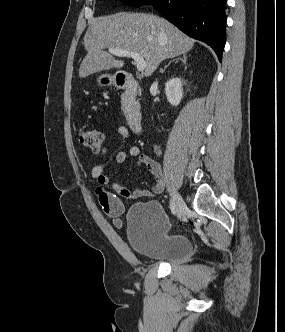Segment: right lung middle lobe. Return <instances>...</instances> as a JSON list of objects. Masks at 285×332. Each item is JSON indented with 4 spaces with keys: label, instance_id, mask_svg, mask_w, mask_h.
Returning <instances> with one entry per match:
<instances>
[{
    "label": "right lung middle lobe",
    "instance_id": "right-lung-middle-lobe-1",
    "mask_svg": "<svg viewBox=\"0 0 285 332\" xmlns=\"http://www.w3.org/2000/svg\"><path fill=\"white\" fill-rule=\"evenodd\" d=\"M127 5L139 7L141 5L150 4L153 0H122Z\"/></svg>",
    "mask_w": 285,
    "mask_h": 332
}]
</instances>
